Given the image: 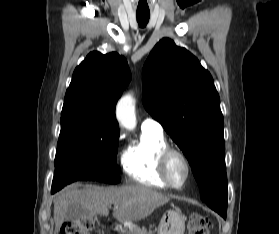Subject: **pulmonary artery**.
I'll return each instance as SVG.
<instances>
[{
	"instance_id": "pulmonary-artery-1",
	"label": "pulmonary artery",
	"mask_w": 279,
	"mask_h": 234,
	"mask_svg": "<svg viewBox=\"0 0 279 234\" xmlns=\"http://www.w3.org/2000/svg\"><path fill=\"white\" fill-rule=\"evenodd\" d=\"M141 129L143 131H152L157 133H162L163 127L162 125L155 119L148 117L145 118L141 124Z\"/></svg>"
}]
</instances>
